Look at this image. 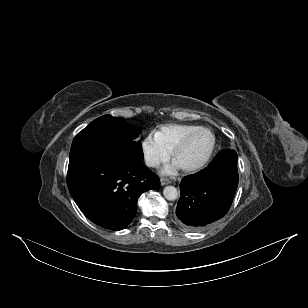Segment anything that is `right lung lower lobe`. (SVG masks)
<instances>
[{
  "label": "right lung lower lobe",
  "mask_w": 308,
  "mask_h": 308,
  "mask_svg": "<svg viewBox=\"0 0 308 308\" xmlns=\"http://www.w3.org/2000/svg\"><path fill=\"white\" fill-rule=\"evenodd\" d=\"M67 185L89 220L121 230L134 218L138 197L158 189L160 180L142 162L94 157L69 161Z\"/></svg>",
  "instance_id": "obj_1"
}]
</instances>
